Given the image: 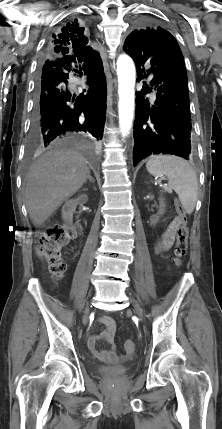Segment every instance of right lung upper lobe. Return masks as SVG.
I'll return each mask as SVG.
<instances>
[{"instance_id":"right-lung-upper-lobe-1","label":"right lung upper lobe","mask_w":222,"mask_h":429,"mask_svg":"<svg viewBox=\"0 0 222 429\" xmlns=\"http://www.w3.org/2000/svg\"><path fill=\"white\" fill-rule=\"evenodd\" d=\"M88 44V38L84 34V28H79L75 23L63 29L61 33L53 35L49 47V57L69 56L75 61L84 62L99 56Z\"/></svg>"}]
</instances>
